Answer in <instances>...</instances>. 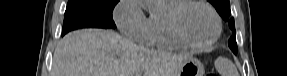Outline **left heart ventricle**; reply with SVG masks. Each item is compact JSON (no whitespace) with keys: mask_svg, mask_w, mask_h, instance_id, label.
I'll list each match as a JSON object with an SVG mask.
<instances>
[{"mask_svg":"<svg viewBox=\"0 0 287 76\" xmlns=\"http://www.w3.org/2000/svg\"><path fill=\"white\" fill-rule=\"evenodd\" d=\"M180 27L186 38L193 43L207 42L215 32V22L204 7L191 5L180 16Z\"/></svg>","mask_w":287,"mask_h":76,"instance_id":"b2bd125f","label":"left heart ventricle"}]
</instances>
